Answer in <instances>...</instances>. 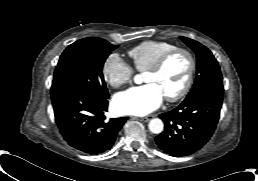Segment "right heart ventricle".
Masks as SVG:
<instances>
[{"mask_svg": "<svg viewBox=\"0 0 258 181\" xmlns=\"http://www.w3.org/2000/svg\"><path fill=\"white\" fill-rule=\"evenodd\" d=\"M176 48L172 43L165 41L148 40L141 42L128 51L133 66L138 71H146L155 61L167 51Z\"/></svg>", "mask_w": 258, "mask_h": 181, "instance_id": "1", "label": "right heart ventricle"}]
</instances>
